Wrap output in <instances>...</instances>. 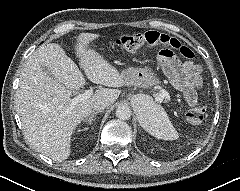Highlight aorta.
Segmentation results:
<instances>
[{
  "label": "aorta",
  "instance_id": "obj_1",
  "mask_svg": "<svg viewBox=\"0 0 240 191\" xmlns=\"http://www.w3.org/2000/svg\"><path fill=\"white\" fill-rule=\"evenodd\" d=\"M140 100L143 102L145 107H149L151 105L149 99L146 97H142ZM116 116L120 120H129L131 117V110L126 105L118 106L116 109Z\"/></svg>",
  "mask_w": 240,
  "mask_h": 191
}]
</instances>
